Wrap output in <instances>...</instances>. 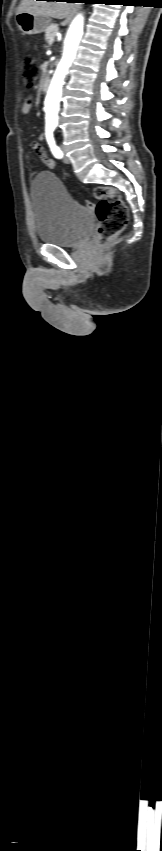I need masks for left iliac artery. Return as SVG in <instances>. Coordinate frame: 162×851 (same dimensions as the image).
<instances>
[{
  "mask_svg": "<svg viewBox=\"0 0 162 851\" xmlns=\"http://www.w3.org/2000/svg\"><path fill=\"white\" fill-rule=\"evenodd\" d=\"M55 128H56V124H54V123L47 124L45 134H46V140L49 144V147H50L52 154L56 158L60 159V158H62L63 153L55 143V139H54V136H53V132H54Z\"/></svg>",
  "mask_w": 162,
  "mask_h": 851,
  "instance_id": "left-iliac-artery-1",
  "label": "left iliac artery"
}]
</instances>
